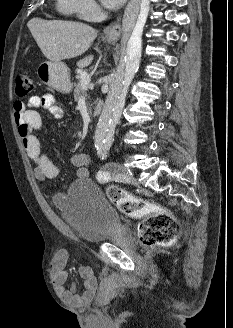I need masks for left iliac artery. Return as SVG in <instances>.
I'll return each instance as SVG.
<instances>
[{
  "label": "left iliac artery",
  "instance_id": "obj_1",
  "mask_svg": "<svg viewBox=\"0 0 233 328\" xmlns=\"http://www.w3.org/2000/svg\"><path fill=\"white\" fill-rule=\"evenodd\" d=\"M97 149H99V154L101 156V159H105L107 157V153L109 148L108 147H97ZM97 179L99 182L101 183H105L108 182L112 179V176L110 175V173L108 171H99L97 173Z\"/></svg>",
  "mask_w": 233,
  "mask_h": 328
}]
</instances>
